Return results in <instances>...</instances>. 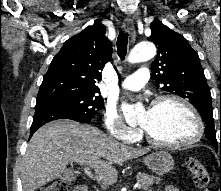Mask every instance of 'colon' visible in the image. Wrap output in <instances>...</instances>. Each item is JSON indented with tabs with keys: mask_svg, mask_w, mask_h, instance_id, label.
Wrapping results in <instances>:
<instances>
[{
	"mask_svg": "<svg viewBox=\"0 0 221 191\" xmlns=\"http://www.w3.org/2000/svg\"><path fill=\"white\" fill-rule=\"evenodd\" d=\"M186 166L193 176L195 186L198 189H204L209 181V173L202 161L196 158H188ZM42 191H71V183L67 180H57ZM205 191H215L208 188Z\"/></svg>",
	"mask_w": 221,
	"mask_h": 191,
	"instance_id": "5ec220e1",
	"label": "colon"
}]
</instances>
